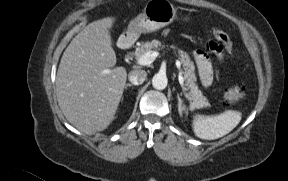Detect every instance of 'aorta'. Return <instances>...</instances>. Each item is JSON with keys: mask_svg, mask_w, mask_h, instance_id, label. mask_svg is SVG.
Segmentation results:
<instances>
[{"mask_svg": "<svg viewBox=\"0 0 288 181\" xmlns=\"http://www.w3.org/2000/svg\"><path fill=\"white\" fill-rule=\"evenodd\" d=\"M168 79L165 74L157 73L152 78V85L157 90H163L167 87Z\"/></svg>", "mask_w": 288, "mask_h": 181, "instance_id": "aorta-1", "label": "aorta"}]
</instances>
